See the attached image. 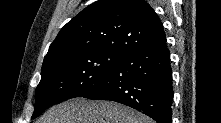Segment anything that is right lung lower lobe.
<instances>
[{"label": "right lung lower lobe", "instance_id": "obj_1", "mask_svg": "<svg viewBox=\"0 0 221 123\" xmlns=\"http://www.w3.org/2000/svg\"><path fill=\"white\" fill-rule=\"evenodd\" d=\"M82 97L116 101L157 123H171L172 69L166 43L127 54L94 91Z\"/></svg>", "mask_w": 221, "mask_h": 123}]
</instances>
